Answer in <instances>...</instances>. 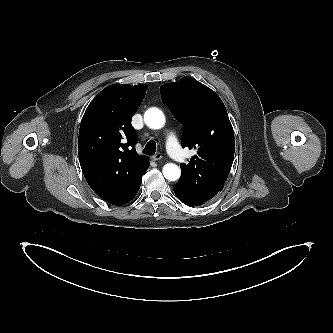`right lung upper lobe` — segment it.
Here are the masks:
<instances>
[{
    "mask_svg": "<svg viewBox=\"0 0 333 333\" xmlns=\"http://www.w3.org/2000/svg\"><path fill=\"white\" fill-rule=\"evenodd\" d=\"M147 85L113 84L89 104L81 121L78 155L86 181L103 200L124 205L137 194L149 161L135 150L131 119Z\"/></svg>",
    "mask_w": 333,
    "mask_h": 333,
    "instance_id": "cb5924a9",
    "label": "right lung upper lobe"
}]
</instances>
